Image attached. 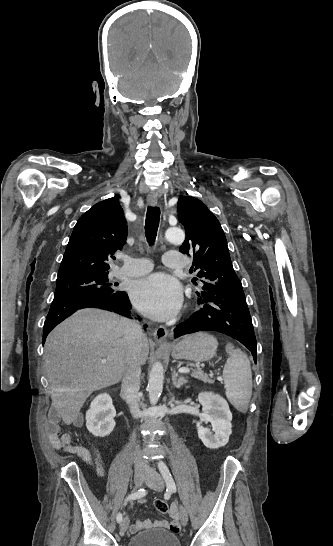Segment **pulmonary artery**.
<instances>
[{"label":"pulmonary artery","instance_id":"1","mask_svg":"<svg viewBox=\"0 0 333 546\" xmlns=\"http://www.w3.org/2000/svg\"><path fill=\"white\" fill-rule=\"evenodd\" d=\"M165 266L178 269L186 265L185 258L177 251H168L163 256ZM152 263L145 258H126L123 266L117 271V276H140L152 270Z\"/></svg>","mask_w":333,"mask_h":546}]
</instances>
